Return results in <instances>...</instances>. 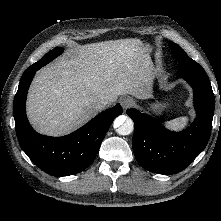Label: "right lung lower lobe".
Here are the masks:
<instances>
[{"label": "right lung lower lobe", "mask_w": 221, "mask_h": 221, "mask_svg": "<svg viewBox=\"0 0 221 221\" xmlns=\"http://www.w3.org/2000/svg\"><path fill=\"white\" fill-rule=\"evenodd\" d=\"M42 66H30L21 77L13 106L17 138L23 151L44 172L53 176L76 174L94 161L110 125L122 114V108L116 104L63 137L37 133L28 122L25 105L29 85Z\"/></svg>", "instance_id": "obj_1"}]
</instances>
